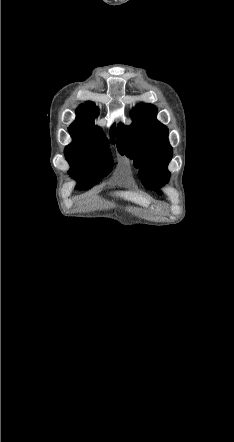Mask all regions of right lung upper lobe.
I'll return each instance as SVG.
<instances>
[{
    "label": "right lung upper lobe",
    "mask_w": 234,
    "mask_h": 442,
    "mask_svg": "<svg viewBox=\"0 0 234 442\" xmlns=\"http://www.w3.org/2000/svg\"><path fill=\"white\" fill-rule=\"evenodd\" d=\"M98 108L93 102H86L76 110V121L69 127V132L76 137L79 142L90 147L108 146L103 140L102 130L94 125V119L98 116ZM115 130L111 128V143H115Z\"/></svg>",
    "instance_id": "right-lung-upper-lobe-1"
}]
</instances>
